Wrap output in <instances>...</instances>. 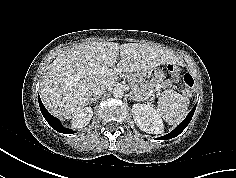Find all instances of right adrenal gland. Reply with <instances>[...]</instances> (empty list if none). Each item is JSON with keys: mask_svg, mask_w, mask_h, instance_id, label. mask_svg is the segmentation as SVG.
<instances>
[{"mask_svg": "<svg viewBox=\"0 0 236 178\" xmlns=\"http://www.w3.org/2000/svg\"><path fill=\"white\" fill-rule=\"evenodd\" d=\"M98 99V97H92V98H90V103H93L94 101H96Z\"/></svg>", "mask_w": 236, "mask_h": 178, "instance_id": "2a0ac1e0", "label": "right adrenal gland"}]
</instances>
